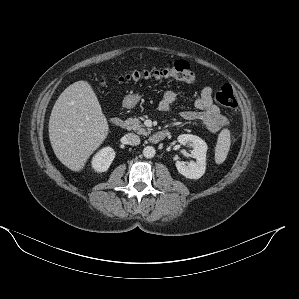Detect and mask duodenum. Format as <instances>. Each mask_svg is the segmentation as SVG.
I'll return each instance as SVG.
<instances>
[{
  "instance_id": "410a0bca",
  "label": "duodenum",
  "mask_w": 299,
  "mask_h": 299,
  "mask_svg": "<svg viewBox=\"0 0 299 299\" xmlns=\"http://www.w3.org/2000/svg\"><path fill=\"white\" fill-rule=\"evenodd\" d=\"M111 123L113 126L118 127V128H121L124 126V121L119 117L112 118ZM169 135H170L169 130H161V131H157V132L153 133L149 139L153 143H158V142L164 140L165 138H167Z\"/></svg>"
}]
</instances>
